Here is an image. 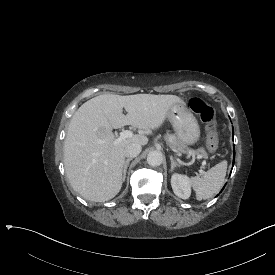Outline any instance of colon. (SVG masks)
Here are the masks:
<instances>
[{
	"instance_id": "obj_1",
	"label": "colon",
	"mask_w": 275,
	"mask_h": 275,
	"mask_svg": "<svg viewBox=\"0 0 275 275\" xmlns=\"http://www.w3.org/2000/svg\"><path fill=\"white\" fill-rule=\"evenodd\" d=\"M190 108L200 116L207 129V148L210 152L217 151L218 131L215 123L216 110L201 98L194 97L190 100Z\"/></svg>"
}]
</instances>
